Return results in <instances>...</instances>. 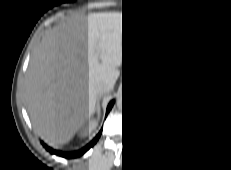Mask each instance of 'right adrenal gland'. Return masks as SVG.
Masks as SVG:
<instances>
[{"instance_id":"obj_1","label":"right adrenal gland","mask_w":231,"mask_h":170,"mask_svg":"<svg viewBox=\"0 0 231 170\" xmlns=\"http://www.w3.org/2000/svg\"><path fill=\"white\" fill-rule=\"evenodd\" d=\"M99 103H100V101L98 100V101H97V105H99Z\"/></svg>"}]
</instances>
